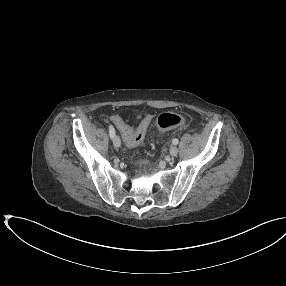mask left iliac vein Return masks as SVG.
<instances>
[{
    "mask_svg": "<svg viewBox=\"0 0 286 286\" xmlns=\"http://www.w3.org/2000/svg\"><path fill=\"white\" fill-rule=\"evenodd\" d=\"M169 153L172 157H175L178 154V148L176 146H171Z\"/></svg>",
    "mask_w": 286,
    "mask_h": 286,
    "instance_id": "4c4485c4",
    "label": "left iliac vein"
}]
</instances>
